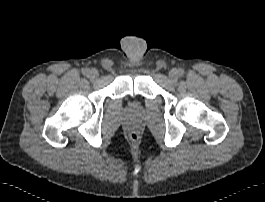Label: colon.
Instances as JSON below:
<instances>
[{
    "label": "colon",
    "instance_id": "colon-1",
    "mask_svg": "<svg viewBox=\"0 0 265 202\" xmlns=\"http://www.w3.org/2000/svg\"><path fill=\"white\" fill-rule=\"evenodd\" d=\"M130 138H131V140H133V141H138V139H139V134H138L137 132H132V133L130 134Z\"/></svg>",
    "mask_w": 265,
    "mask_h": 202
}]
</instances>
